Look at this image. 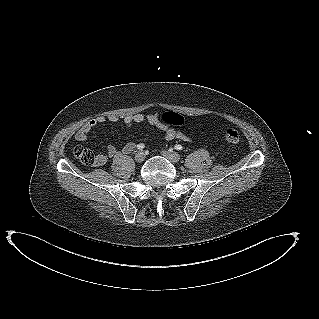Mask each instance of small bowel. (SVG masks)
I'll list each match as a JSON object with an SVG mask.
<instances>
[{"label":"small bowel","instance_id":"1","mask_svg":"<svg viewBox=\"0 0 319 319\" xmlns=\"http://www.w3.org/2000/svg\"><path fill=\"white\" fill-rule=\"evenodd\" d=\"M106 120H109L110 122L116 123L119 121V117L117 115H110L109 117L104 116H98L96 118L91 119L86 124H84L75 134V139L79 142H84L88 138L89 134L92 132V130L97 127L98 125L104 123ZM147 122L150 125L156 126L160 128L164 132V138L167 141H171L174 139H180L185 142L192 141V136L180 129H175L171 126H168L161 122L160 120V114L159 113H152L148 114L146 116L142 114H131L127 115L124 118V123L126 126L131 127L134 124H139L143 122ZM135 147V143L133 142H127L121 149L122 154H130ZM119 151L116 149L115 146L109 145L106 148V151L103 153H100L96 156L94 165L96 166H102L107 163V161L113 157H115Z\"/></svg>","mask_w":319,"mask_h":319}]
</instances>
